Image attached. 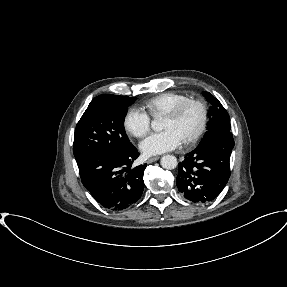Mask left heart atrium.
Here are the masks:
<instances>
[{
	"label": "left heart atrium",
	"instance_id": "39dd6f15",
	"mask_svg": "<svg viewBox=\"0 0 287 287\" xmlns=\"http://www.w3.org/2000/svg\"><path fill=\"white\" fill-rule=\"evenodd\" d=\"M183 143L180 134L174 128L152 133L144 139L140 148L146 155H155L173 150Z\"/></svg>",
	"mask_w": 287,
	"mask_h": 287
}]
</instances>
